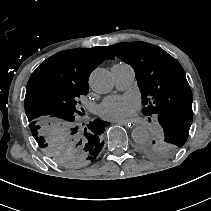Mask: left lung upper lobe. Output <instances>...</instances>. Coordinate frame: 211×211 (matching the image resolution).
<instances>
[{"mask_svg":"<svg viewBox=\"0 0 211 211\" xmlns=\"http://www.w3.org/2000/svg\"><path fill=\"white\" fill-rule=\"evenodd\" d=\"M108 49L131 65L142 96L143 115L160 133L141 151L152 157L176 153L186 142L193 119L191 88L179 62L161 48L145 42H127Z\"/></svg>","mask_w":211,"mask_h":211,"instance_id":"left-lung-upper-lobe-1","label":"left lung upper lobe"}]
</instances>
